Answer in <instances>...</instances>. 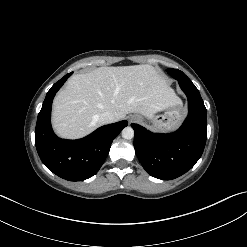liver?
I'll return each instance as SVG.
<instances>
[{"instance_id": "liver-1", "label": "liver", "mask_w": 247, "mask_h": 247, "mask_svg": "<svg viewBox=\"0 0 247 247\" xmlns=\"http://www.w3.org/2000/svg\"><path fill=\"white\" fill-rule=\"evenodd\" d=\"M179 100L151 65L100 67L67 81L54 99L52 123L60 137L77 139L99 127L104 112L112 113L114 122L128 113L151 119Z\"/></svg>"}]
</instances>
